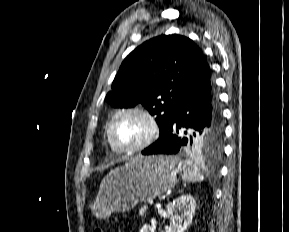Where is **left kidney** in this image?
<instances>
[{
    "instance_id": "5707ae66",
    "label": "left kidney",
    "mask_w": 289,
    "mask_h": 232,
    "mask_svg": "<svg viewBox=\"0 0 289 232\" xmlns=\"http://www.w3.org/2000/svg\"><path fill=\"white\" fill-rule=\"evenodd\" d=\"M195 209L196 201L190 194L181 195L174 199L166 207L167 214L171 219L166 232H184L192 222ZM140 232H154V229L145 224Z\"/></svg>"
}]
</instances>
